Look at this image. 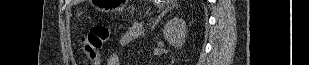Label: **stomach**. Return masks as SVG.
Segmentation results:
<instances>
[{
    "instance_id": "obj_1",
    "label": "stomach",
    "mask_w": 309,
    "mask_h": 65,
    "mask_svg": "<svg viewBox=\"0 0 309 65\" xmlns=\"http://www.w3.org/2000/svg\"><path fill=\"white\" fill-rule=\"evenodd\" d=\"M94 2H97L98 10L112 13L124 9L127 0H99Z\"/></svg>"
}]
</instances>
